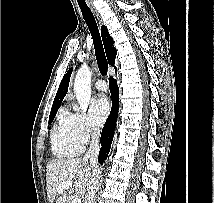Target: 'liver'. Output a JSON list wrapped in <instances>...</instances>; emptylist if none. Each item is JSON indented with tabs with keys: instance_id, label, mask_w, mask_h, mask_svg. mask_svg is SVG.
<instances>
[{
	"instance_id": "6515ba94",
	"label": "liver",
	"mask_w": 214,
	"mask_h": 203,
	"mask_svg": "<svg viewBox=\"0 0 214 203\" xmlns=\"http://www.w3.org/2000/svg\"><path fill=\"white\" fill-rule=\"evenodd\" d=\"M92 172V165L84 158L49 162L46 170L48 201L50 203L54 201L56 203H66L70 194L74 191L77 196H83L92 184ZM68 180H74V186L71 189L67 187L66 191L58 192V186Z\"/></svg>"
}]
</instances>
